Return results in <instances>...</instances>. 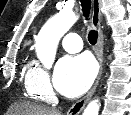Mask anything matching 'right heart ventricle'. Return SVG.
Wrapping results in <instances>:
<instances>
[{
	"instance_id": "1",
	"label": "right heart ventricle",
	"mask_w": 131,
	"mask_h": 115,
	"mask_svg": "<svg viewBox=\"0 0 131 115\" xmlns=\"http://www.w3.org/2000/svg\"><path fill=\"white\" fill-rule=\"evenodd\" d=\"M28 95H29V97L32 98V99H38V97H37L36 95H34L33 93H31V92H29V91H28Z\"/></svg>"
}]
</instances>
